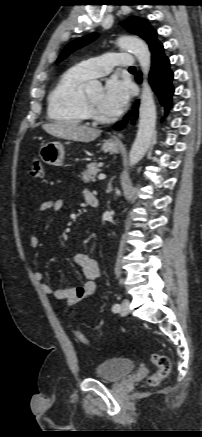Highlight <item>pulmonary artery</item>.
I'll return each mask as SVG.
<instances>
[{
	"label": "pulmonary artery",
	"instance_id": "pulmonary-artery-1",
	"mask_svg": "<svg viewBox=\"0 0 202 437\" xmlns=\"http://www.w3.org/2000/svg\"><path fill=\"white\" fill-rule=\"evenodd\" d=\"M134 66V59L129 53H108L90 58L79 63L76 67L89 78L107 75L114 67L130 68Z\"/></svg>",
	"mask_w": 202,
	"mask_h": 437
}]
</instances>
